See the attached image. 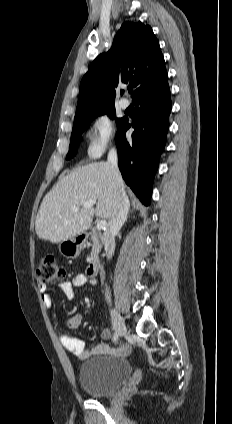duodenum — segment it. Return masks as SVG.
I'll return each instance as SVG.
<instances>
[{
    "mask_svg": "<svg viewBox=\"0 0 232 424\" xmlns=\"http://www.w3.org/2000/svg\"><path fill=\"white\" fill-rule=\"evenodd\" d=\"M82 238L83 239H87L88 238V235L87 234H83L82 235ZM100 268H101V259H100L99 256H94L90 260V262L88 264L87 272H88L89 275L95 276V275L98 274Z\"/></svg>",
    "mask_w": 232,
    "mask_h": 424,
    "instance_id": "1",
    "label": "duodenum"
}]
</instances>
